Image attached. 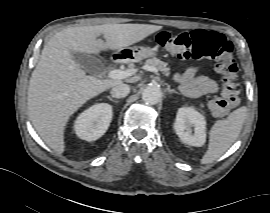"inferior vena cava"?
Wrapping results in <instances>:
<instances>
[{
  "instance_id": "602c4592",
  "label": "inferior vena cava",
  "mask_w": 270,
  "mask_h": 213,
  "mask_svg": "<svg viewBox=\"0 0 270 213\" xmlns=\"http://www.w3.org/2000/svg\"><path fill=\"white\" fill-rule=\"evenodd\" d=\"M130 92V87L127 84H119L112 88L111 95L114 98H124Z\"/></svg>"
}]
</instances>
